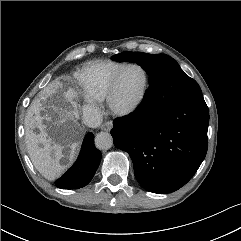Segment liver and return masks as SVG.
<instances>
[{"instance_id":"obj_1","label":"liver","mask_w":241,"mask_h":241,"mask_svg":"<svg viewBox=\"0 0 241 241\" xmlns=\"http://www.w3.org/2000/svg\"><path fill=\"white\" fill-rule=\"evenodd\" d=\"M61 86L59 82L51 84L45 93L52 95ZM76 92L69 88L63 92V101L56 105L47 102L43 95L35 99L26 116L25 137L28 154L35 168L48 180H54L67 168L68 163H61L68 149V162H72L75 151L83 136V129L78 120V104L74 99ZM54 128L63 145L54 143L48 129ZM37 127L39 133L33 131Z\"/></svg>"}]
</instances>
